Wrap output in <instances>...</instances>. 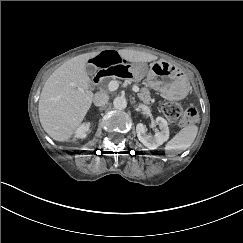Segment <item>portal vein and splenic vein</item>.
I'll return each instance as SVG.
<instances>
[{
  "mask_svg": "<svg viewBox=\"0 0 243 243\" xmlns=\"http://www.w3.org/2000/svg\"><path fill=\"white\" fill-rule=\"evenodd\" d=\"M118 87H119V83L117 81H115V80L110 81L109 84H108V88H109L110 91H115V90L118 89ZM132 90L134 92H138L139 91V87L134 85L132 87Z\"/></svg>",
  "mask_w": 243,
  "mask_h": 243,
  "instance_id": "portal-vein-and-splenic-vein-1",
  "label": "portal vein and splenic vein"
}]
</instances>
